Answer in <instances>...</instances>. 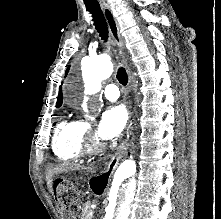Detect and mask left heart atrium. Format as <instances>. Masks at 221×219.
<instances>
[{
	"label": "left heart atrium",
	"mask_w": 221,
	"mask_h": 219,
	"mask_svg": "<svg viewBox=\"0 0 221 219\" xmlns=\"http://www.w3.org/2000/svg\"><path fill=\"white\" fill-rule=\"evenodd\" d=\"M128 121L127 109L122 106H111L103 114L97 128L100 139L110 141L121 134Z\"/></svg>",
	"instance_id": "39dd6f15"
}]
</instances>
